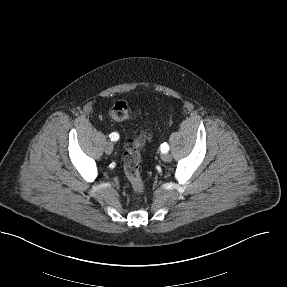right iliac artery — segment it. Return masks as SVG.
<instances>
[{
    "label": "right iliac artery",
    "instance_id": "82829eb1",
    "mask_svg": "<svg viewBox=\"0 0 287 287\" xmlns=\"http://www.w3.org/2000/svg\"><path fill=\"white\" fill-rule=\"evenodd\" d=\"M110 139H111V141H117V140L119 139L118 133L112 132V133L110 134Z\"/></svg>",
    "mask_w": 287,
    "mask_h": 287
}]
</instances>
